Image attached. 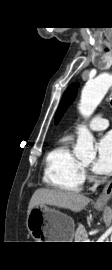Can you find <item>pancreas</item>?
<instances>
[{
  "label": "pancreas",
  "instance_id": "obj_1",
  "mask_svg": "<svg viewBox=\"0 0 112 270\" xmlns=\"http://www.w3.org/2000/svg\"><path fill=\"white\" fill-rule=\"evenodd\" d=\"M88 238L85 227L79 224L75 232V242H85Z\"/></svg>",
  "mask_w": 112,
  "mask_h": 270
}]
</instances>
